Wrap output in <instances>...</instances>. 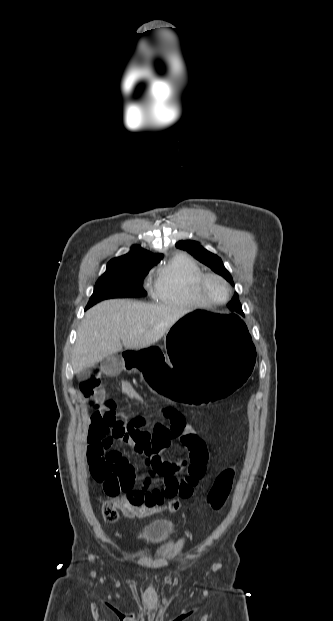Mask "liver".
I'll return each mask as SVG.
<instances>
[{
    "label": "liver",
    "instance_id": "obj_1",
    "mask_svg": "<svg viewBox=\"0 0 333 621\" xmlns=\"http://www.w3.org/2000/svg\"><path fill=\"white\" fill-rule=\"evenodd\" d=\"M186 310L125 299L101 302L88 310L77 332L71 364L75 372L125 349L159 341Z\"/></svg>",
    "mask_w": 333,
    "mask_h": 621
}]
</instances>
